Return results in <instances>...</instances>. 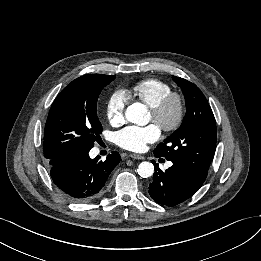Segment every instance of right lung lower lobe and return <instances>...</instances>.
<instances>
[{
	"mask_svg": "<svg viewBox=\"0 0 261 261\" xmlns=\"http://www.w3.org/2000/svg\"><path fill=\"white\" fill-rule=\"evenodd\" d=\"M88 152L66 158L50 169L54 184L66 198L75 202L96 198L112 170L121 161L118 152L109 154L105 161L91 159Z\"/></svg>",
	"mask_w": 261,
	"mask_h": 261,
	"instance_id": "right-lung-lower-lobe-1",
	"label": "right lung lower lobe"
}]
</instances>
